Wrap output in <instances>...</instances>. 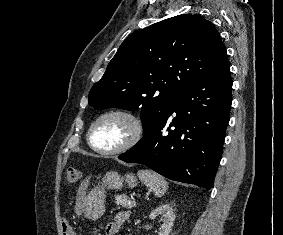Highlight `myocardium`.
Listing matches in <instances>:
<instances>
[{"instance_id":"myocardium-1","label":"myocardium","mask_w":283,"mask_h":235,"mask_svg":"<svg viewBox=\"0 0 283 235\" xmlns=\"http://www.w3.org/2000/svg\"><path fill=\"white\" fill-rule=\"evenodd\" d=\"M110 117H121L127 120L130 124L131 131H130L129 137L127 138L125 142H123L121 145L113 149L106 150V149H101L95 146L92 142V136L98 124L104 119H107ZM144 131H145L144 123L137 114L133 113L132 111L126 110V109H111V110L105 111L102 114H100L92 122V124L89 127L88 133H87V141L89 145L91 146V148L99 154L117 155V154L124 153L132 149L134 146H136L143 138Z\"/></svg>"}]
</instances>
